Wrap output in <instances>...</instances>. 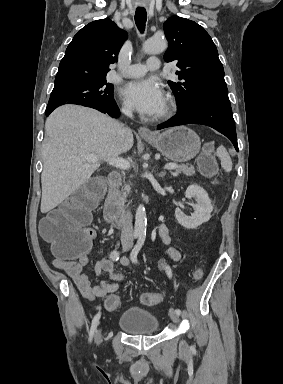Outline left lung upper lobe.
Returning <instances> with one entry per match:
<instances>
[{"instance_id": "left-lung-upper-lobe-1", "label": "left lung upper lobe", "mask_w": 283, "mask_h": 384, "mask_svg": "<svg viewBox=\"0 0 283 384\" xmlns=\"http://www.w3.org/2000/svg\"><path fill=\"white\" fill-rule=\"evenodd\" d=\"M169 47L166 62L176 61L181 82L168 81L177 99V112L198 103L229 100L217 48L205 29L194 21L172 16L164 25Z\"/></svg>"}]
</instances>
